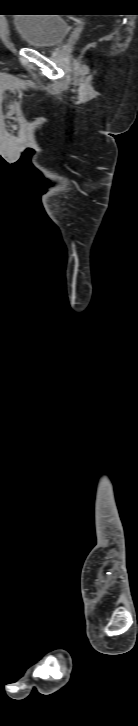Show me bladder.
I'll return each instance as SVG.
<instances>
[{"instance_id":"obj_1","label":"bladder","mask_w":138,"mask_h":726,"mask_svg":"<svg viewBox=\"0 0 138 726\" xmlns=\"http://www.w3.org/2000/svg\"><path fill=\"white\" fill-rule=\"evenodd\" d=\"M24 45L51 48L60 44L70 31L67 20L51 14H22L13 20Z\"/></svg>"}]
</instances>
